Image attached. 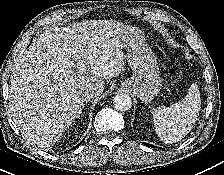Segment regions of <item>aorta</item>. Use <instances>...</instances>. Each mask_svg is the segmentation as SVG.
<instances>
[{"label": "aorta", "instance_id": "1", "mask_svg": "<svg viewBox=\"0 0 224 175\" xmlns=\"http://www.w3.org/2000/svg\"><path fill=\"white\" fill-rule=\"evenodd\" d=\"M113 105H114V108L119 111H127L131 108L132 101L128 95L121 93V94H117L114 97Z\"/></svg>", "mask_w": 224, "mask_h": 175}]
</instances>
